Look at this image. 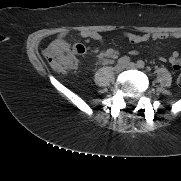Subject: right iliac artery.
Wrapping results in <instances>:
<instances>
[{"label":"right iliac artery","instance_id":"obj_1","mask_svg":"<svg viewBox=\"0 0 181 181\" xmlns=\"http://www.w3.org/2000/svg\"><path fill=\"white\" fill-rule=\"evenodd\" d=\"M130 62V58L127 57V56H124V57H121L119 60H118V64H127Z\"/></svg>","mask_w":181,"mask_h":181}]
</instances>
